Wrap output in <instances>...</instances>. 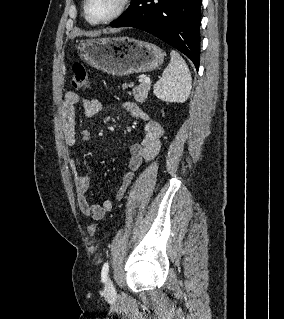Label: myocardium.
Here are the masks:
<instances>
[{"mask_svg": "<svg viewBox=\"0 0 284 319\" xmlns=\"http://www.w3.org/2000/svg\"><path fill=\"white\" fill-rule=\"evenodd\" d=\"M88 3H89V0H84L83 2V13L86 20L93 25H103V24H108L116 20L117 18H119L127 10L130 4V0H118L117 6L115 10L113 11V13L107 18L102 20H94L89 16Z\"/></svg>", "mask_w": 284, "mask_h": 319, "instance_id": "obj_1", "label": "myocardium"}]
</instances>
